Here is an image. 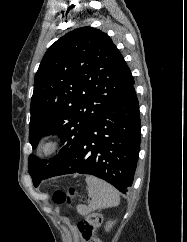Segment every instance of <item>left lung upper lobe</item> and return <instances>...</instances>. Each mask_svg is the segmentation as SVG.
Masks as SVG:
<instances>
[{
  "label": "left lung upper lobe",
  "mask_w": 187,
  "mask_h": 242,
  "mask_svg": "<svg viewBox=\"0 0 187 242\" xmlns=\"http://www.w3.org/2000/svg\"><path fill=\"white\" fill-rule=\"evenodd\" d=\"M133 84L122 54L98 29L78 28L52 44L35 75L29 140L36 148L42 136L57 134L63 147L50 160L31 155L32 178L62 163L93 121Z\"/></svg>",
  "instance_id": "obj_1"
}]
</instances>
